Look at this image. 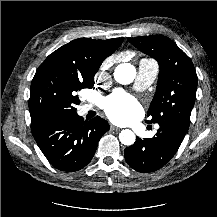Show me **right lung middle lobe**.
<instances>
[{
	"mask_svg": "<svg viewBox=\"0 0 217 217\" xmlns=\"http://www.w3.org/2000/svg\"><path fill=\"white\" fill-rule=\"evenodd\" d=\"M94 74L79 75L56 64H42L30 88L31 122L56 115H73L78 91L94 86Z\"/></svg>",
	"mask_w": 217,
	"mask_h": 217,
	"instance_id": "obj_1",
	"label": "right lung middle lobe"
}]
</instances>
